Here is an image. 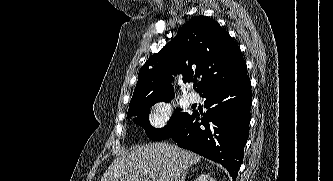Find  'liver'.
Returning <instances> with one entry per match:
<instances>
[{"instance_id": "liver-1", "label": "liver", "mask_w": 333, "mask_h": 181, "mask_svg": "<svg viewBox=\"0 0 333 181\" xmlns=\"http://www.w3.org/2000/svg\"><path fill=\"white\" fill-rule=\"evenodd\" d=\"M201 157L166 143H151L116 158L101 181H184Z\"/></svg>"}]
</instances>
